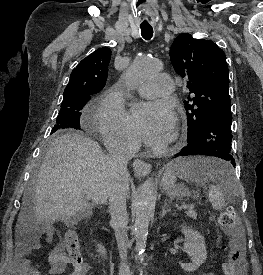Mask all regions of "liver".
Masks as SVG:
<instances>
[{"label":"liver","instance_id":"6515ba94","mask_svg":"<svg viewBox=\"0 0 263 275\" xmlns=\"http://www.w3.org/2000/svg\"><path fill=\"white\" fill-rule=\"evenodd\" d=\"M111 183L108 155L96 141L74 132L60 135L49 145L40 166L33 207L24 196L17 227L31 219L74 223L95 205L107 202Z\"/></svg>","mask_w":263,"mask_h":275}]
</instances>
